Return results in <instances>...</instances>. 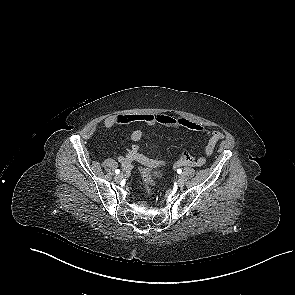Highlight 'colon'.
<instances>
[{
  "label": "colon",
  "instance_id": "obj_1",
  "mask_svg": "<svg viewBox=\"0 0 295 295\" xmlns=\"http://www.w3.org/2000/svg\"><path fill=\"white\" fill-rule=\"evenodd\" d=\"M152 166H153L152 162L146 161L145 166L142 169V176H143V180L145 182V192L148 196H151L153 193L152 188L150 186Z\"/></svg>",
  "mask_w": 295,
  "mask_h": 295
}]
</instances>
